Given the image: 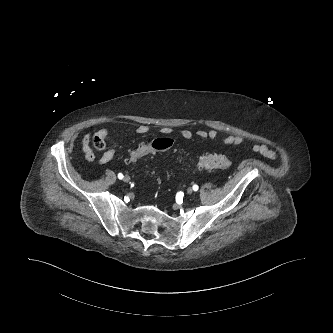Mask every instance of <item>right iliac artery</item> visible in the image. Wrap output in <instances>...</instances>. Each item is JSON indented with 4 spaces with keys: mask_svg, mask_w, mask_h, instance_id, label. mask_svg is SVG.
<instances>
[{
    "mask_svg": "<svg viewBox=\"0 0 333 333\" xmlns=\"http://www.w3.org/2000/svg\"><path fill=\"white\" fill-rule=\"evenodd\" d=\"M118 178H119V179H123V174H122V173H119V174H118Z\"/></svg>",
    "mask_w": 333,
    "mask_h": 333,
    "instance_id": "82829eb1",
    "label": "right iliac artery"
}]
</instances>
